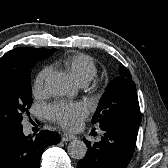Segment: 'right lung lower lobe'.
Segmentation results:
<instances>
[{
  "instance_id": "1",
  "label": "right lung lower lobe",
  "mask_w": 168,
  "mask_h": 168,
  "mask_svg": "<svg viewBox=\"0 0 168 168\" xmlns=\"http://www.w3.org/2000/svg\"><path fill=\"white\" fill-rule=\"evenodd\" d=\"M59 142L55 132L44 130L32 139L22 126L6 128L0 131V168H39L44 149Z\"/></svg>"
}]
</instances>
